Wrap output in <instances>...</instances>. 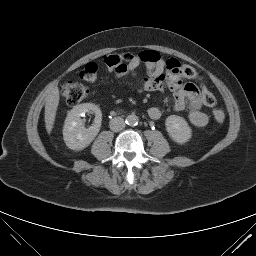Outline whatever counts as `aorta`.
Listing matches in <instances>:
<instances>
[{
  "label": "aorta",
  "mask_w": 256,
  "mask_h": 256,
  "mask_svg": "<svg viewBox=\"0 0 256 256\" xmlns=\"http://www.w3.org/2000/svg\"><path fill=\"white\" fill-rule=\"evenodd\" d=\"M138 121H139L138 117L134 114L128 115L125 120L126 124L129 126L137 125Z\"/></svg>",
  "instance_id": "aorta-1"
}]
</instances>
